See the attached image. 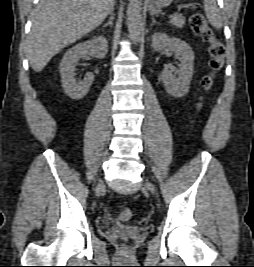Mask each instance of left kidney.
Returning a JSON list of instances; mask_svg holds the SVG:
<instances>
[{"instance_id": "5707ae66", "label": "left kidney", "mask_w": 254, "mask_h": 267, "mask_svg": "<svg viewBox=\"0 0 254 267\" xmlns=\"http://www.w3.org/2000/svg\"><path fill=\"white\" fill-rule=\"evenodd\" d=\"M152 48L154 51L168 48L175 53L180 62L179 68H165L161 76L165 89L170 96L174 98L185 96L189 91L193 76L194 52L191 47L181 39L156 32L152 36Z\"/></svg>"}]
</instances>
